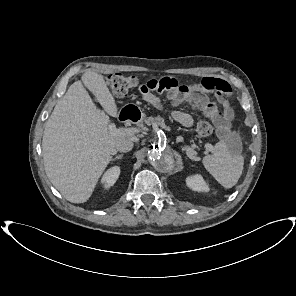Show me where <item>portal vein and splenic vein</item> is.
<instances>
[{
	"mask_svg": "<svg viewBox=\"0 0 296 296\" xmlns=\"http://www.w3.org/2000/svg\"><path fill=\"white\" fill-rule=\"evenodd\" d=\"M109 130L111 133L119 136H133L135 133H138L139 130L136 128H116V125L114 123H111L109 125ZM185 151L190 158H194V155L196 154L195 151H193L189 147H185Z\"/></svg>",
	"mask_w": 296,
	"mask_h": 296,
	"instance_id": "obj_1",
	"label": "portal vein and splenic vein"
}]
</instances>
